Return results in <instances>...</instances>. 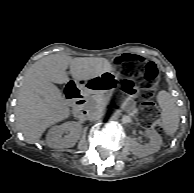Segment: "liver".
<instances>
[{"label":"liver","mask_w":194,"mask_h":193,"mask_svg":"<svg viewBox=\"0 0 194 193\" xmlns=\"http://www.w3.org/2000/svg\"><path fill=\"white\" fill-rule=\"evenodd\" d=\"M68 67L76 81L113 70L110 61L102 57L52 54L35 62L25 75L16 106L17 126L27 143L38 142L48 127L69 116L62 92L53 84L69 81Z\"/></svg>","instance_id":"liver-1"}]
</instances>
